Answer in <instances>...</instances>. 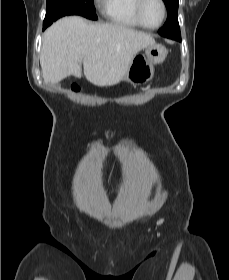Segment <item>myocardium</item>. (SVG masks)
Here are the masks:
<instances>
[{
    "label": "myocardium",
    "instance_id": "myocardium-1",
    "mask_svg": "<svg viewBox=\"0 0 229 280\" xmlns=\"http://www.w3.org/2000/svg\"><path fill=\"white\" fill-rule=\"evenodd\" d=\"M157 1L159 2L161 9H162V18L157 25L150 26L143 19V8H144L147 0H137V2L135 4V8H134V13H135V17H136L137 21L143 28H146L149 30H154V29L159 28L164 23L166 14H167L166 4H165L164 0H157Z\"/></svg>",
    "mask_w": 229,
    "mask_h": 280
}]
</instances>
